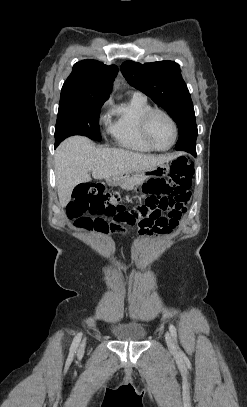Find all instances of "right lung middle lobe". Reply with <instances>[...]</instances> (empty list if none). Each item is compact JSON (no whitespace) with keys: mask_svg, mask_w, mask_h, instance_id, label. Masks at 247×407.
Here are the masks:
<instances>
[{"mask_svg":"<svg viewBox=\"0 0 247 407\" xmlns=\"http://www.w3.org/2000/svg\"><path fill=\"white\" fill-rule=\"evenodd\" d=\"M105 101H60L55 126V147L72 135H84L101 141L99 115Z\"/></svg>","mask_w":247,"mask_h":407,"instance_id":"dd1d6c3e","label":"right lung middle lobe"}]
</instances>
